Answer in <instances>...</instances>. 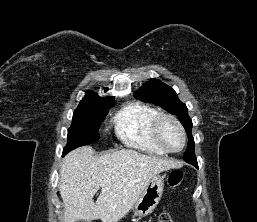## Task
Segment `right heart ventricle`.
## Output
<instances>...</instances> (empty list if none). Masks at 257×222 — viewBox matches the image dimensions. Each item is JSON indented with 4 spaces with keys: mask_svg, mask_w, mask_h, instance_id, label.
<instances>
[{
    "mask_svg": "<svg viewBox=\"0 0 257 222\" xmlns=\"http://www.w3.org/2000/svg\"><path fill=\"white\" fill-rule=\"evenodd\" d=\"M158 114L157 109L142 102L127 104L114 117L117 136L129 147L164 155L166 152L156 143L152 134V124Z\"/></svg>",
    "mask_w": 257,
    "mask_h": 222,
    "instance_id": "right-heart-ventricle-1",
    "label": "right heart ventricle"
}]
</instances>
